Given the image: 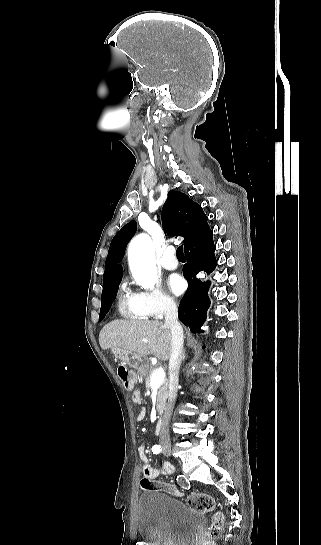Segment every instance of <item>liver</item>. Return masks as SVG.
<instances>
[{
	"label": "liver",
	"instance_id": "1",
	"mask_svg": "<svg viewBox=\"0 0 321 545\" xmlns=\"http://www.w3.org/2000/svg\"><path fill=\"white\" fill-rule=\"evenodd\" d=\"M171 329L161 321H111L100 331L101 349H126L136 355H154L160 361L171 357Z\"/></svg>",
	"mask_w": 321,
	"mask_h": 545
}]
</instances>
